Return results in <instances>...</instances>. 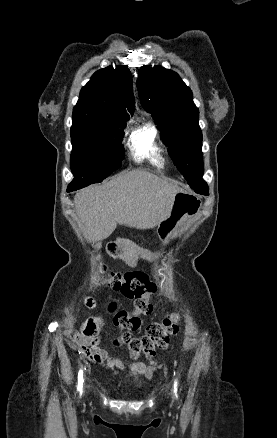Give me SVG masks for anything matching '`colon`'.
<instances>
[{
    "mask_svg": "<svg viewBox=\"0 0 277 438\" xmlns=\"http://www.w3.org/2000/svg\"><path fill=\"white\" fill-rule=\"evenodd\" d=\"M97 272V277L102 284L134 302L133 309L122 311L115 316L114 327L127 329L133 326L138 316L152 312L150 295L153 292V282L148 274L138 271H109L104 264L97 266ZM87 304L90 307L95 306V298H88ZM179 322V316L173 314L169 318L148 325L142 335L134 336L127 331L118 334L113 338L112 345L117 348L128 346L132 358H136L140 353L151 357L156 349H162L168 344L170 336L178 329ZM102 326L100 318H91L84 330L85 340L90 343L96 342L99 337L98 331L102 329Z\"/></svg>",
    "mask_w": 277,
    "mask_h": 438,
    "instance_id": "1",
    "label": "colon"
}]
</instances>
